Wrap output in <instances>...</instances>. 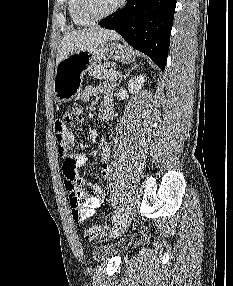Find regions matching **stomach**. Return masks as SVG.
Segmentation results:
<instances>
[{
	"mask_svg": "<svg viewBox=\"0 0 233 286\" xmlns=\"http://www.w3.org/2000/svg\"><path fill=\"white\" fill-rule=\"evenodd\" d=\"M107 59L130 63L135 57L131 49L112 41L96 49L69 55L57 65L55 70L53 86L55 100L64 103L74 98L80 92L86 72Z\"/></svg>",
	"mask_w": 233,
	"mask_h": 286,
	"instance_id": "obj_1",
	"label": "stomach"
}]
</instances>
